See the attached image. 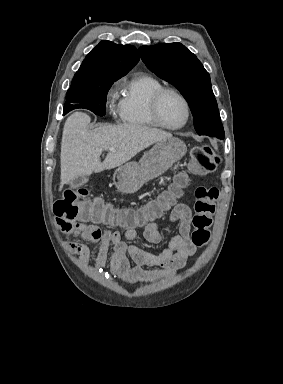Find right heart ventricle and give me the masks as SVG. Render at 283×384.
Wrapping results in <instances>:
<instances>
[{
    "instance_id": "obj_1",
    "label": "right heart ventricle",
    "mask_w": 283,
    "mask_h": 384,
    "mask_svg": "<svg viewBox=\"0 0 283 384\" xmlns=\"http://www.w3.org/2000/svg\"><path fill=\"white\" fill-rule=\"evenodd\" d=\"M163 88L155 78L144 73H134L125 79L122 97L118 104L121 121L138 129H154L148 114V104L153 95Z\"/></svg>"
}]
</instances>
